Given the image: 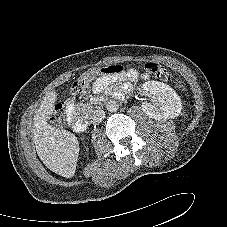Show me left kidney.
<instances>
[{
	"mask_svg": "<svg viewBox=\"0 0 227 227\" xmlns=\"http://www.w3.org/2000/svg\"><path fill=\"white\" fill-rule=\"evenodd\" d=\"M141 90L157 98V103L144 102L142 110L150 118L172 119L182 110V102L178 94L167 84L159 81H148L141 86Z\"/></svg>",
	"mask_w": 227,
	"mask_h": 227,
	"instance_id": "5707ae66",
	"label": "left kidney"
}]
</instances>
